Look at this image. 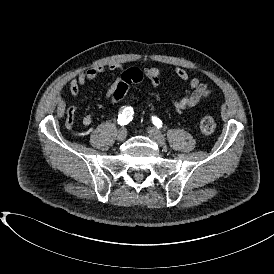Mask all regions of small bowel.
<instances>
[{
  "label": "small bowel",
  "mask_w": 274,
  "mask_h": 274,
  "mask_svg": "<svg viewBox=\"0 0 274 274\" xmlns=\"http://www.w3.org/2000/svg\"><path fill=\"white\" fill-rule=\"evenodd\" d=\"M105 69L116 71L119 74L116 81L110 84L105 92V99L110 101L119 86V82L121 81V77L124 72L123 67L119 63L115 62L109 63L106 67H91L82 72L79 76L73 77L69 82L70 93L73 99L76 100L78 98L81 88L87 82L94 81L105 71ZM174 73L177 78L187 82L189 85V89L184 95L171 98V104L177 113H184L192 109L211 94L209 87L203 83L200 78L191 77L183 67L174 66ZM144 74L149 79L153 88L156 89L160 86L162 70L159 67H146L144 68ZM93 121V116L88 114L83 117L82 124L84 127H89L92 125Z\"/></svg>",
  "instance_id": "c3829d8e"
}]
</instances>
